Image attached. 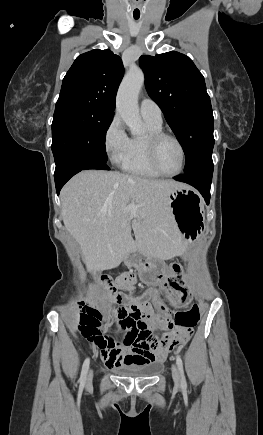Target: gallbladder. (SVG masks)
<instances>
[{"label":"gallbladder","mask_w":263,"mask_h":435,"mask_svg":"<svg viewBox=\"0 0 263 435\" xmlns=\"http://www.w3.org/2000/svg\"><path fill=\"white\" fill-rule=\"evenodd\" d=\"M100 273V271H97L96 274L98 275Z\"/></svg>","instance_id":"1"}]
</instances>
